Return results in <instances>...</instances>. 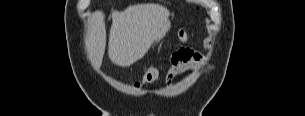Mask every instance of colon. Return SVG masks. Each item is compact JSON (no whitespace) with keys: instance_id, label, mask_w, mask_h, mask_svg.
Wrapping results in <instances>:
<instances>
[{"instance_id":"colon-1","label":"colon","mask_w":305,"mask_h":116,"mask_svg":"<svg viewBox=\"0 0 305 116\" xmlns=\"http://www.w3.org/2000/svg\"><path fill=\"white\" fill-rule=\"evenodd\" d=\"M177 39L180 43L185 44L189 40L188 33L185 29L181 28L177 32ZM175 54L183 56L184 55V49H180ZM160 74V69L158 67H150L143 75L142 79L135 83L136 88H142L145 85H149L153 83Z\"/></svg>"}]
</instances>
